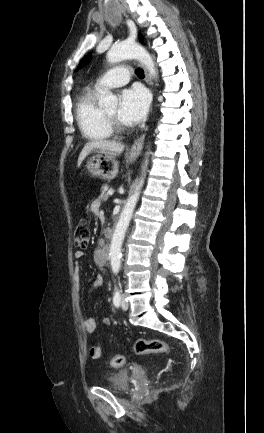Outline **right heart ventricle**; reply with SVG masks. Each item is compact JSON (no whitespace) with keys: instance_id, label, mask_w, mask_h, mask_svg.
Segmentation results:
<instances>
[{"instance_id":"right-heart-ventricle-1","label":"right heart ventricle","mask_w":264,"mask_h":433,"mask_svg":"<svg viewBox=\"0 0 264 433\" xmlns=\"http://www.w3.org/2000/svg\"><path fill=\"white\" fill-rule=\"evenodd\" d=\"M100 90L83 91L77 98L75 116L78 127L89 140H103L112 135L104 110L98 104Z\"/></svg>"}]
</instances>
